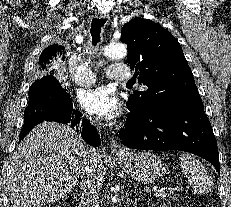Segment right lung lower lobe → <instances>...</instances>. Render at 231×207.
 Returning a JSON list of instances; mask_svg holds the SVG:
<instances>
[{"instance_id": "1", "label": "right lung lower lobe", "mask_w": 231, "mask_h": 207, "mask_svg": "<svg viewBox=\"0 0 231 207\" xmlns=\"http://www.w3.org/2000/svg\"><path fill=\"white\" fill-rule=\"evenodd\" d=\"M30 88L33 95L24 112L20 141L34 126L43 121H56L64 124L71 122V127L78 128L77 124L80 123L82 114L74 110L71 98L56 78L43 77L39 82L33 83ZM81 136L91 146L99 147L101 144L97 130L86 119L82 121Z\"/></svg>"}]
</instances>
